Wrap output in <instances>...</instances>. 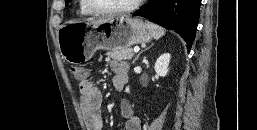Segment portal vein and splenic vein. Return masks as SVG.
I'll return each instance as SVG.
<instances>
[{
	"mask_svg": "<svg viewBox=\"0 0 257 130\" xmlns=\"http://www.w3.org/2000/svg\"><path fill=\"white\" fill-rule=\"evenodd\" d=\"M140 49L139 48H134V52L137 53Z\"/></svg>",
	"mask_w": 257,
	"mask_h": 130,
	"instance_id": "1",
	"label": "portal vein and splenic vein"
}]
</instances>
